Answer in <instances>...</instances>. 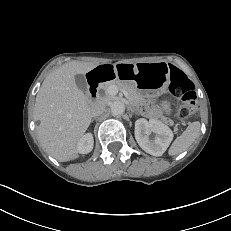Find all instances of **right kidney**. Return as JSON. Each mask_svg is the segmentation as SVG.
<instances>
[{
  "instance_id": "obj_1",
  "label": "right kidney",
  "mask_w": 231,
  "mask_h": 231,
  "mask_svg": "<svg viewBox=\"0 0 231 231\" xmlns=\"http://www.w3.org/2000/svg\"><path fill=\"white\" fill-rule=\"evenodd\" d=\"M78 152L81 154H87L93 149V136L90 133L85 134L77 146Z\"/></svg>"
}]
</instances>
